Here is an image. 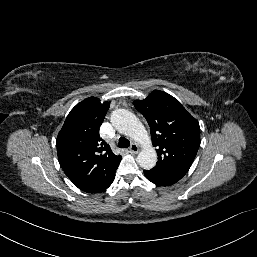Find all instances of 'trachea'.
Listing matches in <instances>:
<instances>
[{"label":"trachea","mask_w":257,"mask_h":257,"mask_svg":"<svg viewBox=\"0 0 257 257\" xmlns=\"http://www.w3.org/2000/svg\"><path fill=\"white\" fill-rule=\"evenodd\" d=\"M118 146L119 148H128L130 146V141L125 137H121L118 141Z\"/></svg>","instance_id":"1"}]
</instances>
